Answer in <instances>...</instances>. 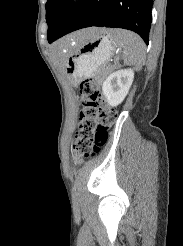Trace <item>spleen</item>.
<instances>
[{
    "label": "spleen",
    "instance_id": "3e777b00",
    "mask_svg": "<svg viewBox=\"0 0 183 246\" xmlns=\"http://www.w3.org/2000/svg\"><path fill=\"white\" fill-rule=\"evenodd\" d=\"M111 35L115 46L121 47L124 62L140 70L145 62L146 47L143 40L131 31L113 29Z\"/></svg>",
    "mask_w": 183,
    "mask_h": 246
}]
</instances>
